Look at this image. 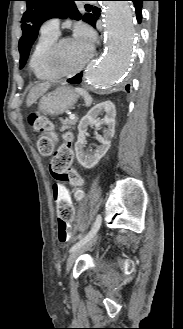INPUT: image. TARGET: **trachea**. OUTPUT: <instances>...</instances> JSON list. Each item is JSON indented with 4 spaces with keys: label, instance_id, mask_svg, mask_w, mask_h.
<instances>
[{
    "label": "trachea",
    "instance_id": "1",
    "mask_svg": "<svg viewBox=\"0 0 183 329\" xmlns=\"http://www.w3.org/2000/svg\"><path fill=\"white\" fill-rule=\"evenodd\" d=\"M86 7H90V5H86Z\"/></svg>",
    "mask_w": 183,
    "mask_h": 329
}]
</instances>
